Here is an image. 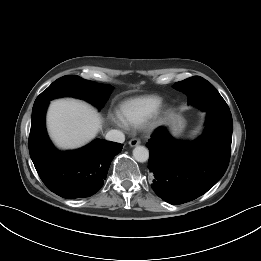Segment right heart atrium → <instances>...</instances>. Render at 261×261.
Listing matches in <instances>:
<instances>
[{
  "mask_svg": "<svg viewBox=\"0 0 261 261\" xmlns=\"http://www.w3.org/2000/svg\"><path fill=\"white\" fill-rule=\"evenodd\" d=\"M113 121L118 125V126H121V127H124L125 125L119 120V118H114L113 117Z\"/></svg>",
  "mask_w": 261,
  "mask_h": 261,
  "instance_id": "right-heart-atrium-1",
  "label": "right heart atrium"
}]
</instances>
